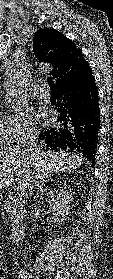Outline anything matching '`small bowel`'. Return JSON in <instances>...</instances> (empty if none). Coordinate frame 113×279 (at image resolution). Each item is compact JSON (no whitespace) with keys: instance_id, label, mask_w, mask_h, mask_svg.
Listing matches in <instances>:
<instances>
[{"instance_id":"obj_1","label":"small bowel","mask_w":113,"mask_h":279,"mask_svg":"<svg viewBox=\"0 0 113 279\" xmlns=\"http://www.w3.org/2000/svg\"><path fill=\"white\" fill-rule=\"evenodd\" d=\"M0 279H7V271L5 268H1Z\"/></svg>"}]
</instances>
